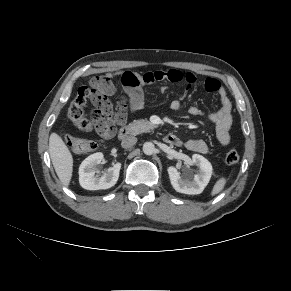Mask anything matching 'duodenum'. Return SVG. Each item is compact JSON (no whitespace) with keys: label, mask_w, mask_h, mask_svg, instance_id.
<instances>
[{"label":"duodenum","mask_w":291,"mask_h":291,"mask_svg":"<svg viewBox=\"0 0 291 291\" xmlns=\"http://www.w3.org/2000/svg\"><path fill=\"white\" fill-rule=\"evenodd\" d=\"M132 133V130L129 126H122L119 130L118 137L121 140L127 139ZM165 142L168 144L176 145L179 143V139L174 134H167L165 136Z\"/></svg>","instance_id":"1"}]
</instances>
